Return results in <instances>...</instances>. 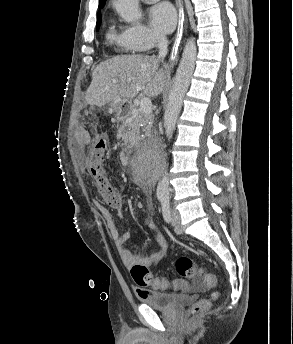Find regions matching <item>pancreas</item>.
Instances as JSON below:
<instances>
[{"mask_svg": "<svg viewBox=\"0 0 293 344\" xmlns=\"http://www.w3.org/2000/svg\"><path fill=\"white\" fill-rule=\"evenodd\" d=\"M130 119L131 121L127 126L139 135L140 130L151 131L152 124L154 122V115H145L140 110L132 109Z\"/></svg>", "mask_w": 293, "mask_h": 344, "instance_id": "obj_1", "label": "pancreas"}]
</instances>
